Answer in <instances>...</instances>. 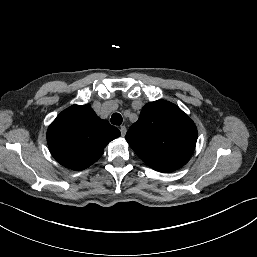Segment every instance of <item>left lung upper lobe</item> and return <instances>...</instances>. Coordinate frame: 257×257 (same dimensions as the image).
<instances>
[{
    "label": "left lung upper lobe",
    "instance_id": "left-lung-upper-lobe-1",
    "mask_svg": "<svg viewBox=\"0 0 257 257\" xmlns=\"http://www.w3.org/2000/svg\"><path fill=\"white\" fill-rule=\"evenodd\" d=\"M126 141L148 166L171 172L190 159L197 128L178 106L158 100L142 108L138 121L126 134Z\"/></svg>",
    "mask_w": 257,
    "mask_h": 257
}]
</instances>
